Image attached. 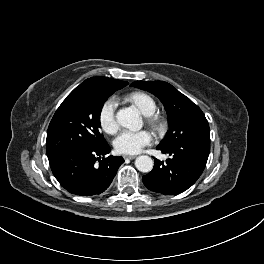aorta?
Masks as SVG:
<instances>
[{"instance_id": "1", "label": "aorta", "mask_w": 264, "mask_h": 264, "mask_svg": "<svg viewBox=\"0 0 264 264\" xmlns=\"http://www.w3.org/2000/svg\"><path fill=\"white\" fill-rule=\"evenodd\" d=\"M116 120L121 126L132 131L140 130L143 125L139 113L132 107L120 109L116 114ZM153 165V160L147 155L138 156L135 160L136 168L143 173L150 172L153 169Z\"/></svg>"}]
</instances>
